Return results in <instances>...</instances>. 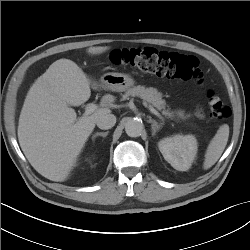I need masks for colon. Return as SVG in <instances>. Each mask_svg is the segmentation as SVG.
I'll use <instances>...</instances> for the list:
<instances>
[{"mask_svg":"<svg viewBox=\"0 0 250 250\" xmlns=\"http://www.w3.org/2000/svg\"><path fill=\"white\" fill-rule=\"evenodd\" d=\"M112 62L116 65H129L146 73L161 77L202 82V73L197 59L177 52L160 51L154 48H125L115 50ZM211 115L218 120L231 116L228 104L214 92L208 93Z\"/></svg>","mask_w":250,"mask_h":250,"instance_id":"colon-1","label":"colon"}]
</instances>
